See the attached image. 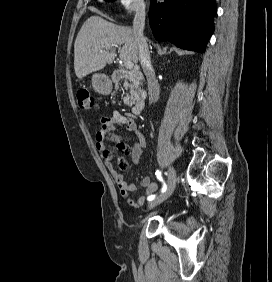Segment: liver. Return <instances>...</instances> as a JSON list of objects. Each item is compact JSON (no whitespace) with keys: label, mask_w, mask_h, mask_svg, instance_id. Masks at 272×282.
I'll return each instance as SVG.
<instances>
[{"label":"liver","mask_w":272,"mask_h":282,"mask_svg":"<svg viewBox=\"0 0 272 282\" xmlns=\"http://www.w3.org/2000/svg\"><path fill=\"white\" fill-rule=\"evenodd\" d=\"M123 45L120 59L137 63L139 46L133 29L116 25L99 16L89 17L82 25L74 44V69L78 79L103 69L116 57Z\"/></svg>","instance_id":"obj_1"}]
</instances>
